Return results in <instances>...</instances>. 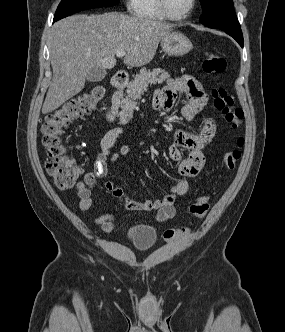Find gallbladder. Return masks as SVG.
Here are the masks:
<instances>
[{"instance_id":"1","label":"gallbladder","mask_w":285,"mask_h":332,"mask_svg":"<svg viewBox=\"0 0 285 332\" xmlns=\"http://www.w3.org/2000/svg\"><path fill=\"white\" fill-rule=\"evenodd\" d=\"M107 72L104 68L94 67L87 74V81L89 82H100L102 81Z\"/></svg>"}]
</instances>
